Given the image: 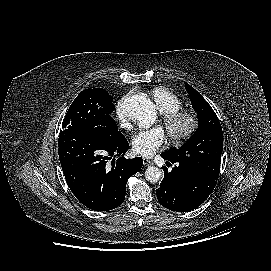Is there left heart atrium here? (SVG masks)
I'll use <instances>...</instances> for the list:
<instances>
[{"instance_id": "obj_1", "label": "left heart atrium", "mask_w": 271, "mask_h": 271, "mask_svg": "<svg viewBox=\"0 0 271 271\" xmlns=\"http://www.w3.org/2000/svg\"><path fill=\"white\" fill-rule=\"evenodd\" d=\"M166 142V135L161 127L141 130L132 139L133 151L143 157H152Z\"/></svg>"}]
</instances>
